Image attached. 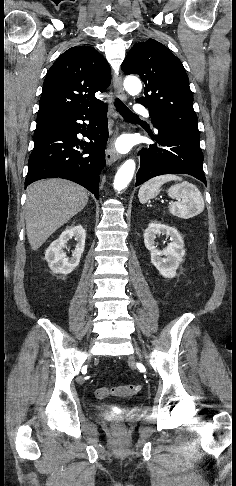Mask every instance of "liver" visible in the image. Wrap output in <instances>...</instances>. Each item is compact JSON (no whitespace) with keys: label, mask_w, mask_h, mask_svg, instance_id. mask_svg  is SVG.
Listing matches in <instances>:
<instances>
[{"label":"liver","mask_w":236,"mask_h":486,"mask_svg":"<svg viewBox=\"0 0 236 486\" xmlns=\"http://www.w3.org/2000/svg\"><path fill=\"white\" fill-rule=\"evenodd\" d=\"M88 203L83 187L64 179L41 180L27 188L25 220L32 250L39 249L58 228Z\"/></svg>","instance_id":"1"}]
</instances>
